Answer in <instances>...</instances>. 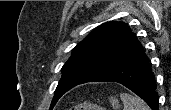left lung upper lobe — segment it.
Listing matches in <instances>:
<instances>
[{"mask_svg": "<svg viewBox=\"0 0 171 110\" xmlns=\"http://www.w3.org/2000/svg\"><path fill=\"white\" fill-rule=\"evenodd\" d=\"M142 45L123 22L110 21L95 28L72 50L50 106L78 84L86 83L134 54Z\"/></svg>", "mask_w": 171, "mask_h": 110, "instance_id": "left-lung-upper-lobe-1", "label": "left lung upper lobe"}]
</instances>
